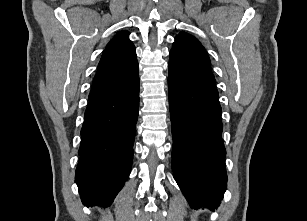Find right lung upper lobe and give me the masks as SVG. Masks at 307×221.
<instances>
[{
	"instance_id": "right-lung-upper-lobe-1",
	"label": "right lung upper lobe",
	"mask_w": 307,
	"mask_h": 221,
	"mask_svg": "<svg viewBox=\"0 0 307 221\" xmlns=\"http://www.w3.org/2000/svg\"><path fill=\"white\" fill-rule=\"evenodd\" d=\"M135 46L129 33L119 32L106 46L98 64L89 99L98 98L130 86L138 77Z\"/></svg>"
}]
</instances>
